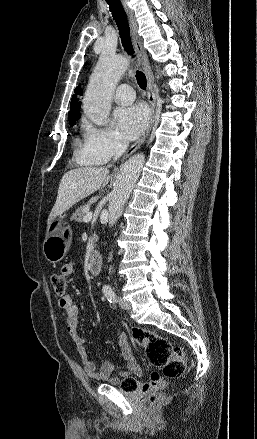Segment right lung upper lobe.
<instances>
[{
	"mask_svg": "<svg viewBox=\"0 0 257 439\" xmlns=\"http://www.w3.org/2000/svg\"><path fill=\"white\" fill-rule=\"evenodd\" d=\"M75 93L76 95H73L72 99H71V106H70V112H76L78 113V111L80 110V103L78 102L77 96H81L82 95V90L80 87H77L75 89Z\"/></svg>",
	"mask_w": 257,
	"mask_h": 439,
	"instance_id": "cb5924a9",
	"label": "right lung upper lobe"
}]
</instances>
